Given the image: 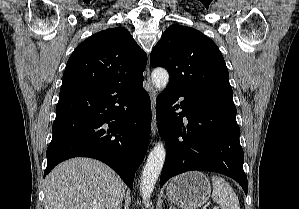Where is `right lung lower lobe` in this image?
I'll return each mask as SVG.
<instances>
[{"label":"right lung lower lobe","mask_w":299,"mask_h":209,"mask_svg":"<svg viewBox=\"0 0 299 209\" xmlns=\"http://www.w3.org/2000/svg\"><path fill=\"white\" fill-rule=\"evenodd\" d=\"M142 83L61 89L44 177L64 160L91 157L109 165L132 189L151 126L150 97Z\"/></svg>","instance_id":"obj_1"}]
</instances>
